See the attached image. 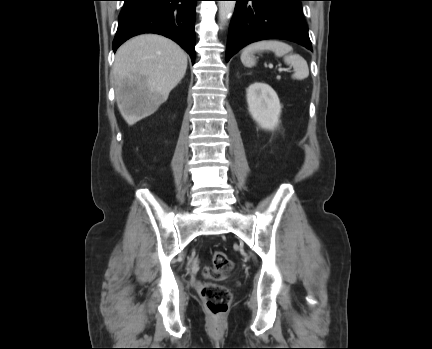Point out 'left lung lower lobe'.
Listing matches in <instances>:
<instances>
[{"label": "left lung lower lobe", "instance_id": "left-lung-lower-lobe-1", "mask_svg": "<svg viewBox=\"0 0 432 349\" xmlns=\"http://www.w3.org/2000/svg\"><path fill=\"white\" fill-rule=\"evenodd\" d=\"M230 24L226 61L249 43L264 39H286L312 50L301 1L235 0Z\"/></svg>", "mask_w": 432, "mask_h": 349}]
</instances>
